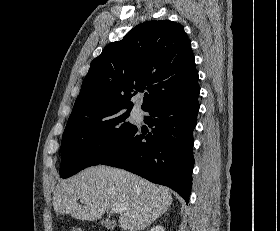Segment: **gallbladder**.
<instances>
[{"label": "gallbladder", "instance_id": "gallbladder-1", "mask_svg": "<svg viewBox=\"0 0 280 231\" xmlns=\"http://www.w3.org/2000/svg\"><path fill=\"white\" fill-rule=\"evenodd\" d=\"M99 223L103 225V227H107V229H114V227H116V221H114V219H101Z\"/></svg>", "mask_w": 280, "mask_h": 231}]
</instances>
